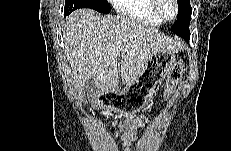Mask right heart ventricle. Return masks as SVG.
Wrapping results in <instances>:
<instances>
[{
  "label": "right heart ventricle",
  "mask_w": 231,
  "mask_h": 151,
  "mask_svg": "<svg viewBox=\"0 0 231 151\" xmlns=\"http://www.w3.org/2000/svg\"><path fill=\"white\" fill-rule=\"evenodd\" d=\"M117 8L127 22L149 26L162 24L153 13L152 0H120Z\"/></svg>",
  "instance_id": "e07e8e85"
}]
</instances>
